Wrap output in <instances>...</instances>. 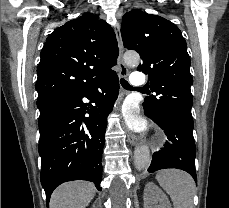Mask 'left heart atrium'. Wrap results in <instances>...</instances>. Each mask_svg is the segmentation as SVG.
<instances>
[{
    "instance_id": "39dd6f15",
    "label": "left heart atrium",
    "mask_w": 229,
    "mask_h": 208,
    "mask_svg": "<svg viewBox=\"0 0 229 208\" xmlns=\"http://www.w3.org/2000/svg\"><path fill=\"white\" fill-rule=\"evenodd\" d=\"M125 117L127 122L134 128H141L142 123L138 118L137 112L133 108H127L125 111Z\"/></svg>"
}]
</instances>
